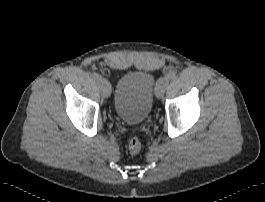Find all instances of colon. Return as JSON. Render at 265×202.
I'll use <instances>...</instances> for the list:
<instances>
[{
  "mask_svg": "<svg viewBox=\"0 0 265 202\" xmlns=\"http://www.w3.org/2000/svg\"><path fill=\"white\" fill-rule=\"evenodd\" d=\"M141 142L137 137H132L128 142V149L130 153L136 154L141 150Z\"/></svg>",
  "mask_w": 265,
  "mask_h": 202,
  "instance_id": "colon-1",
  "label": "colon"
}]
</instances>
